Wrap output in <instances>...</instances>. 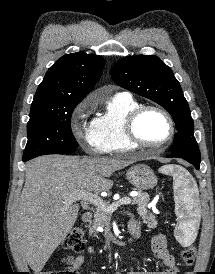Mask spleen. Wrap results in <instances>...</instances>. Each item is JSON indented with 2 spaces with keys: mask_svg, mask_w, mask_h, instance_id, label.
<instances>
[{
  "mask_svg": "<svg viewBox=\"0 0 215 274\" xmlns=\"http://www.w3.org/2000/svg\"><path fill=\"white\" fill-rule=\"evenodd\" d=\"M159 172L173 177L175 213L179 219L174 234L181 244L189 245L194 241L198 228L197 184L191 174L181 166L164 165Z\"/></svg>",
  "mask_w": 215,
  "mask_h": 274,
  "instance_id": "3e777b00",
  "label": "spleen"
}]
</instances>
